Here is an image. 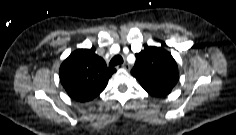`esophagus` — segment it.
I'll return each mask as SVG.
<instances>
[{"mask_svg": "<svg viewBox=\"0 0 236 135\" xmlns=\"http://www.w3.org/2000/svg\"><path fill=\"white\" fill-rule=\"evenodd\" d=\"M121 67L124 68V69H126V70L130 68L129 65H128L126 62H124V63L121 65Z\"/></svg>", "mask_w": 236, "mask_h": 135, "instance_id": "esophagus-1", "label": "esophagus"}]
</instances>
